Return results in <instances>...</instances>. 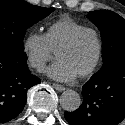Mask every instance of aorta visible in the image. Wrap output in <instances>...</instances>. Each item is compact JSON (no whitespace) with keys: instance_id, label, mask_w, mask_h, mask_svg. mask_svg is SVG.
Returning a JSON list of instances; mask_svg holds the SVG:
<instances>
[{"instance_id":"762f6f07","label":"aorta","mask_w":125,"mask_h":125,"mask_svg":"<svg viewBox=\"0 0 125 125\" xmlns=\"http://www.w3.org/2000/svg\"><path fill=\"white\" fill-rule=\"evenodd\" d=\"M60 104L66 111H75L81 104L80 95L74 90H66L60 97Z\"/></svg>"}]
</instances>
